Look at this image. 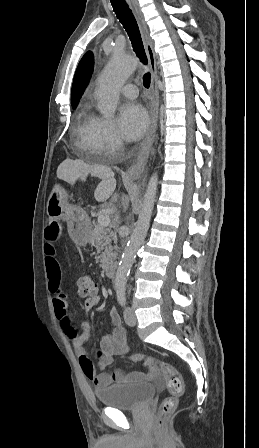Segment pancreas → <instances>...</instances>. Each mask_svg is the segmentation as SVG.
Listing matches in <instances>:
<instances>
[{
	"label": "pancreas",
	"mask_w": 259,
	"mask_h": 448,
	"mask_svg": "<svg viewBox=\"0 0 259 448\" xmlns=\"http://www.w3.org/2000/svg\"><path fill=\"white\" fill-rule=\"evenodd\" d=\"M93 236L96 244L95 248L100 254V256H96V262L97 264L100 262V268L105 270L117 258V252H114V250H117V246H111L112 242H115V244L117 242L116 232H112L111 228H103V226L94 224Z\"/></svg>",
	"instance_id": "pancreas-1"
}]
</instances>
